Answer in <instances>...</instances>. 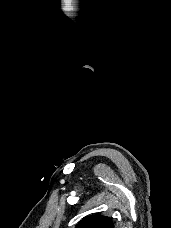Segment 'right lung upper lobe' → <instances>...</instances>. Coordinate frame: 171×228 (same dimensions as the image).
Segmentation results:
<instances>
[{
    "label": "right lung upper lobe",
    "mask_w": 171,
    "mask_h": 228,
    "mask_svg": "<svg viewBox=\"0 0 171 228\" xmlns=\"http://www.w3.org/2000/svg\"><path fill=\"white\" fill-rule=\"evenodd\" d=\"M76 228H114V224L111 218L95 214L81 220Z\"/></svg>",
    "instance_id": "obj_1"
}]
</instances>
